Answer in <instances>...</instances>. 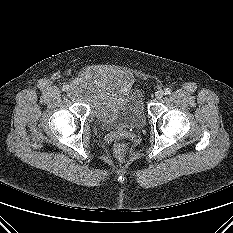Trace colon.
<instances>
[{
  "label": "colon",
  "instance_id": "1",
  "mask_svg": "<svg viewBox=\"0 0 233 233\" xmlns=\"http://www.w3.org/2000/svg\"><path fill=\"white\" fill-rule=\"evenodd\" d=\"M114 154L119 161H124L127 157V147L123 142H117L114 145Z\"/></svg>",
  "mask_w": 233,
  "mask_h": 233
}]
</instances>
